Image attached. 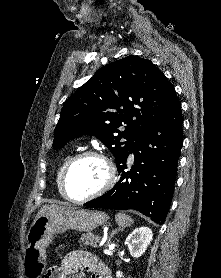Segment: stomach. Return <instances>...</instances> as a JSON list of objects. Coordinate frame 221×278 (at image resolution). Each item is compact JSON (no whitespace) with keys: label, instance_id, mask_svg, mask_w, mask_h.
Returning <instances> with one entry per match:
<instances>
[{"label":"stomach","instance_id":"0dacf381","mask_svg":"<svg viewBox=\"0 0 221 278\" xmlns=\"http://www.w3.org/2000/svg\"><path fill=\"white\" fill-rule=\"evenodd\" d=\"M108 216L99 211L85 209H71L65 213L38 214L27 234V246L22 257L24 275H44L46 262V247L57 234H63L72 229L81 232H90L98 226L105 224Z\"/></svg>","mask_w":221,"mask_h":278}]
</instances>
